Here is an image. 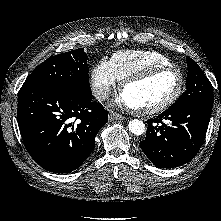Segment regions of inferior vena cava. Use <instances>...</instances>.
<instances>
[{"instance_id": "obj_1", "label": "inferior vena cava", "mask_w": 221, "mask_h": 221, "mask_svg": "<svg viewBox=\"0 0 221 221\" xmlns=\"http://www.w3.org/2000/svg\"><path fill=\"white\" fill-rule=\"evenodd\" d=\"M109 95V89L108 88H103L101 90L96 91L95 93V98L99 101L106 100Z\"/></svg>"}]
</instances>
